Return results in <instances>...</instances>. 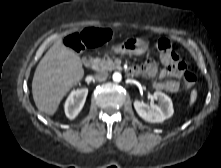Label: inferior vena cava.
Wrapping results in <instances>:
<instances>
[{"label":"inferior vena cava","instance_id":"1","mask_svg":"<svg viewBox=\"0 0 221 168\" xmlns=\"http://www.w3.org/2000/svg\"><path fill=\"white\" fill-rule=\"evenodd\" d=\"M108 77V73L106 71H99L95 74V79L97 81H105Z\"/></svg>","mask_w":221,"mask_h":168}]
</instances>
